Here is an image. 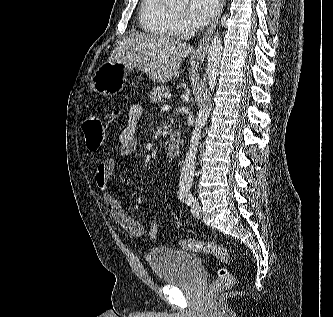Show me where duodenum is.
<instances>
[{
	"instance_id": "410a0bca",
	"label": "duodenum",
	"mask_w": 333,
	"mask_h": 317,
	"mask_svg": "<svg viewBox=\"0 0 333 317\" xmlns=\"http://www.w3.org/2000/svg\"><path fill=\"white\" fill-rule=\"evenodd\" d=\"M181 135L178 131L172 133L167 146L166 153L170 159H175L180 153Z\"/></svg>"
}]
</instances>
